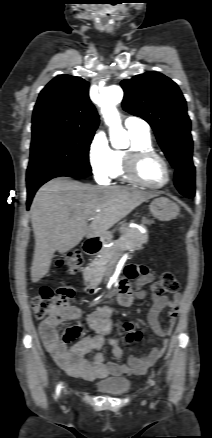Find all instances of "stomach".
I'll return each instance as SVG.
<instances>
[{
  "label": "stomach",
  "mask_w": 212,
  "mask_h": 438,
  "mask_svg": "<svg viewBox=\"0 0 212 438\" xmlns=\"http://www.w3.org/2000/svg\"><path fill=\"white\" fill-rule=\"evenodd\" d=\"M150 213L152 216L160 221H170L176 218L179 215L180 208L179 206L165 197H159L154 199L150 206ZM142 222L145 224H150V221L145 217L142 219ZM127 230L125 227H121L120 231L124 233Z\"/></svg>",
  "instance_id": "0dacf381"
}]
</instances>
